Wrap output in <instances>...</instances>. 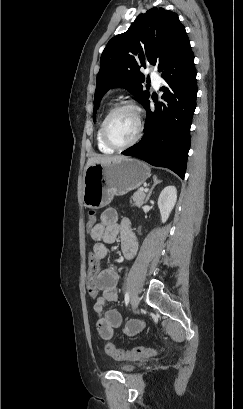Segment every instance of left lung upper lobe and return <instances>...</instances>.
Segmentation results:
<instances>
[{"label":"left lung upper lobe","instance_id":"1","mask_svg":"<svg viewBox=\"0 0 243 409\" xmlns=\"http://www.w3.org/2000/svg\"><path fill=\"white\" fill-rule=\"evenodd\" d=\"M187 41L176 13L151 8L140 14L125 33L108 42L101 55L93 120L103 95L113 87H124L144 105L150 93L144 90L145 77L140 68L151 64L162 72Z\"/></svg>","mask_w":243,"mask_h":409}]
</instances>
